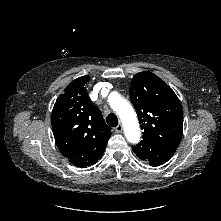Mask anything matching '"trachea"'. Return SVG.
I'll return each instance as SVG.
<instances>
[{"mask_svg":"<svg viewBox=\"0 0 221 221\" xmlns=\"http://www.w3.org/2000/svg\"><path fill=\"white\" fill-rule=\"evenodd\" d=\"M106 122L111 127H116L118 125V118L114 113L108 114Z\"/></svg>","mask_w":221,"mask_h":221,"instance_id":"trachea-1","label":"trachea"}]
</instances>
